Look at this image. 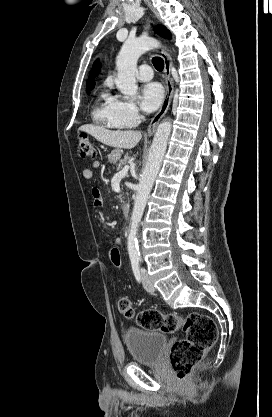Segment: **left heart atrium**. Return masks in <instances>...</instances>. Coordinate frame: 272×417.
<instances>
[{
  "instance_id": "39dd6f15",
  "label": "left heart atrium",
  "mask_w": 272,
  "mask_h": 417,
  "mask_svg": "<svg viewBox=\"0 0 272 417\" xmlns=\"http://www.w3.org/2000/svg\"><path fill=\"white\" fill-rule=\"evenodd\" d=\"M164 91L159 83L151 82L142 87L141 106L146 112L155 111L162 103Z\"/></svg>"
}]
</instances>
